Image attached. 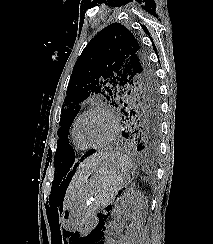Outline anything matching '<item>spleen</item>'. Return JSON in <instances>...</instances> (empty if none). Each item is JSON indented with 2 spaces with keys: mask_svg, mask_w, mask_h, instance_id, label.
Here are the masks:
<instances>
[{
  "mask_svg": "<svg viewBox=\"0 0 213 244\" xmlns=\"http://www.w3.org/2000/svg\"><path fill=\"white\" fill-rule=\"evenodd\" d=\"M123 161L125 162V165L131 169L133 167L131 159L127 155L122 156Z\"/></svg>",
  "mask_w": 213,
  "mask_h": 244,
  "instance_id": "obj_1",
  "label": "spleen"
}]
</instances>
